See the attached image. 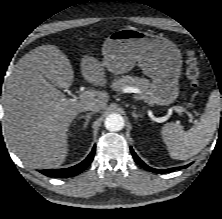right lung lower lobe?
Masks as SVG:
<instances>
[{"instance_id":"right-lung-lower-lobe-1","label":"right lung lower lobe","mask_w":222,"mask_h":219,"mask_svg":"<svg viewBox=\"0 0 222 219\" xmlns=\"http://www.w3.org/2000/svg\"><path fill=\"white\" fill-rule=\"evenodd\" d=\"M96 146L93 147L91 153L88 155V157L82 161L81 163L72 166L70 168H63V169H46V170H40V172L48 177H59V178H66V177H72L79 173H81L90 163L92 162L94 158Z\"/></svg>"}]
</instances>
